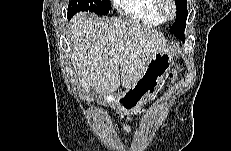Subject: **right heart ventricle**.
<instances>
[{
    "mask_svg": "<svg viewBox=\"0 0 231 151\" xmlns=\"http://www.w3.org/2000/svg\"><path fill=\"white\" fill-rule=\"evenodd\" d=\"M119 8L132 24L158 26L164 22L157 12V0H123Z\"/></svg>",
    "mask_w": 231,
    "mask_h": 151,
    "instance_id": "e07e8e85",
    "label": "right heart ventricle"
}]
</instances>
